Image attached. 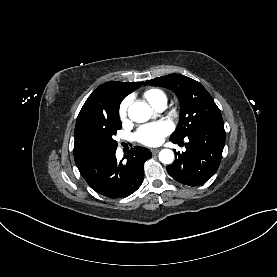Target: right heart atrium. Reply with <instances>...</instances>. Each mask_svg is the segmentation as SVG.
<instances>
[{
	"label": "right heart atrium",
	"instance_id": "obj_1",
	"mask_svg": "<svg viewBox=\"0 0 277 277\" xmlns=\"http://www.w3.org/2000/svg\"><path fill=\"white\" fill-rule=\"evenodd\" d=\"M129 103H130V99L125 98L119 106V116H120V119L123 121L126 120L127 118Z\"/></svg>",
	"mask_w": 277,
	"mask_h": 277
}]
</instances>
